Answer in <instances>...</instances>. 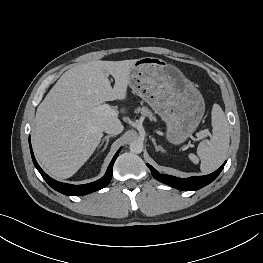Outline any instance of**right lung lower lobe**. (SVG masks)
<instances>
[{
    "label": "right lung lower lobe",
    "instance_id": "obj_1",
    "mask_svg": "<svg viewBox=\"0 0 263 263\" xmlns=\"http://www.w3.org/2000/svg\"><path fill=\"white\" fill-rule=\"evenodd\" d=\"M29 144H30V151H31V156H32V160L33 163L35 165V167L37 168V170L40 172V174L42 175V177L44 178V180L56 191L65 194V195H86L92 192H95L97 190H100L104 187H106L109 182L111 181L112 178V168H113V164L120 152V150L117 151V153L115 154V156L113 157L111 163L108 166V169L105 173V175L92 183H88V184H83V185H72V184H67V183H61L58 182L54 179H52L51 177H49L38 165L33 151H32V147H31V143H30V138H29Z\"/></svg>",
    "mask_w": 263,
    "mask_h": 263
}]
</instances>
